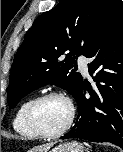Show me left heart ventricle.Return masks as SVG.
<instances>
[{
  "mask_svg": "<svg viewBox=\"0 0 123 152\" xmlns=\"http://www.w3.org/2000/svg\"><path fill=\"white\" fill-rule=\"evenodd\" d=\"M69 106L59 98L48 99L43 102L37 112V122L46 132L60 130L68 121Z\"/></svg>",
  "mask_w": 123,
  "mask_h": 152,
  "instance_id": "b2bd125f",
  "label": "left heart ventricle"
}]
</instances>
